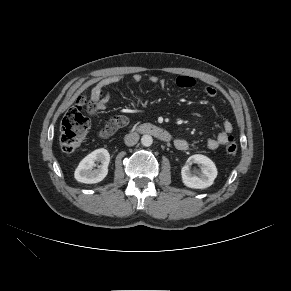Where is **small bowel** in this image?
<instances>
[{
    "mask_svg": "<svg viewBox=\"0 0 291 291\" xmlns=\"http://www.w3.org/2000/svg\"><path fill=\"white\" fill-rule=\"evenodd\" d=\"M132 80L135 82H139L142 79V76L138 73H135L131 76ZM123 75H112L105 77L98 81L96 85L93 87L90 95V103L88 104V110L91 114H95L96 112L103 111L106 109L110 95L109 93H105L104 89L108 86L118 84L122 81ZM148 80L151 83L160 82L157 76H149ZM176 84L183 89L192 88L195 85V80L189 76H179L176 79ZM204 92L209 97H214L217 94V91L213 87H206ZM125 118V123L119 127H122L127 124V118L124 116H118ZM118 127V128H119ZM115 130H111L109 124L106 125L101 131L100 136L107 137L111 135ZM232 132V124L229 121H225L223 123V131L220 132L215 138L209 139L207 141V147L211 150H215L222 145H225L228 141L230 133ZM175 147L178 150L185 151L189 148V142L184 139H176Z\"/></svg>",
    "mask_w": 291,
    "mask_h": 291,
    "instance_id": "small-bowel-1",
    "label": "small bowel"
}]
</instances>
